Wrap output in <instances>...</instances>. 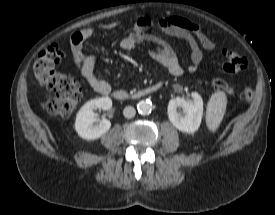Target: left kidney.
Returning a JSON list of instances; mask_svg holds the SVG:
<instances>
[{
	"mask_svg": "<svg viewBox=\"0 0 275 215\" xmlns=\"http://www.w3.org/2000/svg\"><path fill=\"white\" fill-rule=\"evenodd\" d=\"M192 100H185L177 97L170 100L168 104V116L170 122L179 130L185 133H194L198 130L203 116V100L197 93L191 94ZM181 107L184 114L177 111Z\"/></svg>",
	"mask_w": 275,
	"mask_h": 215,
	"instance_id": "1",
	"label": "left kidney"
}]
</instances>
